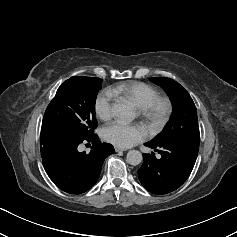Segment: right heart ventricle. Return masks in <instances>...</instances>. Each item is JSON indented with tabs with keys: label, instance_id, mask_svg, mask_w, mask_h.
<instances>
[{
	"label": "right heart ventricle",
	"instance_id": "right-heart-ventricle-1",
	"mask_svg": "<svg viewBox=\"0 0 237 237\" xmlns=\"http://www.w3.org/2000/svg\"><path fill=\"white\" fill-rule=\"evenodd\" d=\"M111 91L116 95H122L132 100L139 108L144 107L158 97V92L155 88L140 81L118 83L111 88Z\"/></svg>",
	"mask_w": 237,
	"mask_h": 237
}]
</instances>
